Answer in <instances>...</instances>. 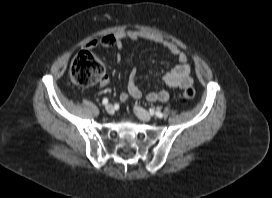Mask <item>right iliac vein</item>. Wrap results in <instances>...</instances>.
<instances>
[{
	"label": "right iliac vein",
	"instance_id": "obj_1",
	"mask_svg": "<svg viewBox=\"0 0 272 198\" xmlns=\"http://www.w3.org/2000/svg\"><path fill=\"white\" fill-rule=\"evenodd\" d=\"M105 110L107 113L112 114L114 112V107L111 104L106 105Z\"/></svg>",
	"mask_w": 272,
	"mask_h": 198
}]
</instances>
